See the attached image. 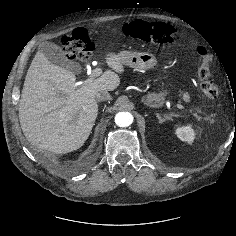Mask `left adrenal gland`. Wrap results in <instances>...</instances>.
<instances>
[{
    "label": "left adrenal gland",
    "mask_w": 236,
    "mask_h": 236,
    "mask_svg": "<svg viewBox=\"0 0 236 236\" xmlns=\"http://www.w3.org/2000/svg\"><path fill=\"white\" fill-rule=\"evenodd\" d=\"M156 116H157L160 123H163L166 120H172V118L170 116L164 115L163 117H161V115L159 113H156Z\"/></svg>",
    "instance_id": "a2214340"
}]
</instances>
